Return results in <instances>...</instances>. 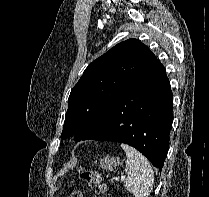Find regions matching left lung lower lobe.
Segmentation results:
<instances>
[{
  "instance_id": "1",
  "label": "left lung lower lobe",
  "mask_w": 209,
  "mask_h": 197,
  "mask_svg": "<svg viewBox=\"0 0 209 197\" xmlns=\"http://www.w3.org/2000/svg\"><path fill=\"white\" fill-rule=\"evenodd\" d=\"M172 102L166 70L157 60L138 83L111 105L82 140L128 144L161 171L169 147Z\"/></svg>"
}]
</instances>
